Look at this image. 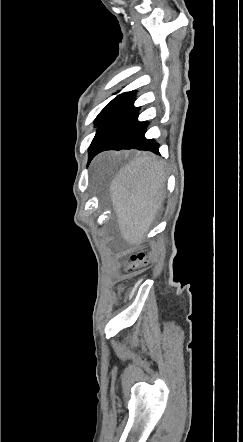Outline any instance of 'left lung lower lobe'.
<instances>
[{
	"label": "left lung lower lobe",
	"instance_id": "0a47b994",
	"mask_svg": "<svg viewBox=\"0 0 243 442\" xmlns=\"http://www.w3.org/2000/svg\"><path fill=\"white\" fill-rule=\"evenodd\" d=\"M135 92H129L117 102L97 125L96 135L89 147V162L105 150L138 149L160 154L158 144L144 137L147 122L138 121L134 107Z\"/></svg>",
	"mask_w": 243,
	"mask_h": 442
}]
</instances>
